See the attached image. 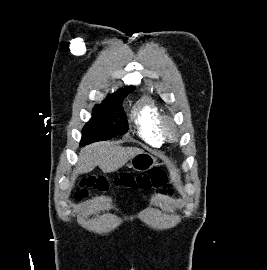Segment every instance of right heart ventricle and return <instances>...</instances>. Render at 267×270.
Returning a JSON list of instances; mask_svg holds the SVG:
<instances>
[{
    "label": "right heart ventricle",
    "mask_w": 267,
    "mask_h": 270,
    "mask_svg": "<svg viewBox=\"0 0 267 270\" xmlns=\"http://www.w3.org/2000/svg\"><path fill=\"white\" fill-rule=\"evenodd\" d=\"M137 134L148 144L159 146L163 137L159 129L161 111L148 97H142L133 106L131 114Z\"/></svg>",
    "instance_id": "right-heart-ventricle-1"
}]
</instances>
